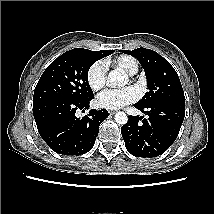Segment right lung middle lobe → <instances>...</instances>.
Here are the masks:
<instances>
[{
    "instance_id": "right-lung-middle-lobe-1",
    "label": "right lung middle lobe",
    "mask_w": 214,
    "mask_h": 214,
    "mask_svg": "<svg viewBox=\"0 0 214 214\" xmlns=\"http://www.w3.org/2000/svg\"><path fill=\"white\" fill-rule=\"evenodd\" d=\"M104 56L96 51L75 48L55 59L43 72L33 104L49 99H88L94 96L88 83L91 65Z\"/></svg>"
}]
</instances>
